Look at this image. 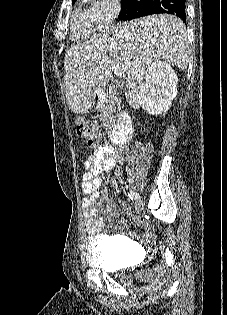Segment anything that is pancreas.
<instances>
[{"mask_svg": "<svg viewBox=\"0 0 227 315\" xmlns=\"http://www.w3.org/2000/svg\"><path fill=\"white\" fill-rule=\"evenodd\" d=\"M111 115H112V111L109 108L104 107L101 109V120L106 127H110L111 125V119H112Z\"/></svg>", "mask_w": 227, "mask_h": 315, "instance_id": "1", "label": "pancreas"}]
</instances>
